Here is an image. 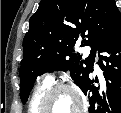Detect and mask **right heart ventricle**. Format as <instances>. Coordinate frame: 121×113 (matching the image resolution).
I'll list each match as a JSON object with an SVG mask.
<instances>
[{
  "label": "right heart ventricle",
  "mask_w": 121,
  "mask_h": 113,
  "mask_svg": "<svg viewBox=\"0 0 121 113\" xmlns=\"http://www.w3.org/2000/svg\"><path fill=\"white\" fill-rule=\"evenodd\" d=\"M49 85H50V80L46 79L42 83H40V85L36 88L30 102V107H29L30 110H35L38 108L42 93Z\"/></svg>",
  "instance_id": "obj_1"
}]
</instances>
